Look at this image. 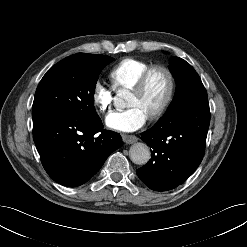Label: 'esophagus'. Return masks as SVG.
Segmentation results:
<instances>
[{"mask_svg": "<svg viewBox=\"0 0 247 247\" xmlns=\"http://www.w3.org/2000/svg\"><path fill=\"white\" fill-rule=\"evenodd\" d=\"M123 141L127 144H132L138 140V138L134 135H128V134H123L122 135Z\"/></svg>", "mask_w": 247, "mask_h": 247, "instance_id": "1", "label": "esophagus"}]
</instances>
